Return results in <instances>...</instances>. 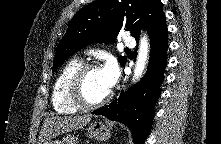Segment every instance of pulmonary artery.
<instances>
[{"label":"pulmonary artery","instance_id":"obj_1","mask_svg":"<svg viewBox=\"0 0 221 144\" xmlns=\"http://www.w3.org/2000/svg\"><path fill=\"white\" fill-rule=\"evenodd\" d=\"M123 43L125 46L133 48L136 44L135 39L130 35H125L123 39Z\"/></svg>","mask_w":221,"mask_h":144}]
</instances>
